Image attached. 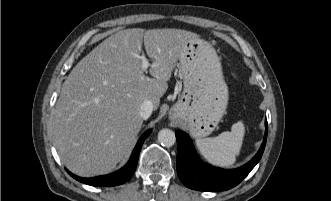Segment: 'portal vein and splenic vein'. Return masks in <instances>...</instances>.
<instances>
[{
  "mask_svg": "<svg viewBox=\"0 0 331 201\" xmlns=\"http://www.w3.org/2000/svg\"><path fill=\"white\" fill-rule=\"evenodd\" d=\"M140 59L142 60L141 67H142V69H143L144 71H146V69L150 66L149 61H148V59H146V57L143 56V55L140 56Z\"/></svg>",
  "mask_w": 331,
  "mask_h": 201,
  "instance_id": "portal-vein-and-splenic-vein-1",
  "label": "portal vein and splenic vein"
}]
</instances>
